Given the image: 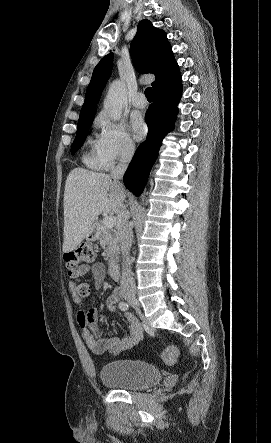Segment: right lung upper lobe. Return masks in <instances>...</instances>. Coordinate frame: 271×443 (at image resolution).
<instances>
[{"mask_svg":"<svg viewBox=\"0 0 271 443\" xmlns=\"http://www.w3.org/2000/svg\"><path fill=\"white\" fill-rule=\"evenodd\" d=\"M135 68L140 73H153V89L167 86L181 78L171 46L163 30L155 28L149 20H142L130 46ZM113 53L104 56L95 67L86 91L79 119L95 116L96 104L110 77Z\"/></svg>","mask_w":271,"mask_h":443,"instance_id":"obj_1","label":"right lung upper lobe"}]
</instances>
